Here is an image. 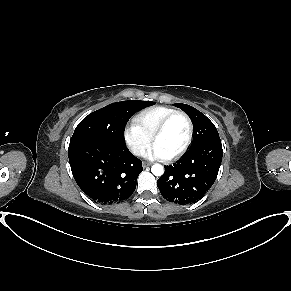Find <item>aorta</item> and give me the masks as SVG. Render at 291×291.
Returning <instances> with one entry per match:
<instances>
[{
    "label": "aorta",
    "instance_id": "aorta-1",
    "mask_svg": "<svg viewBox=\"0 0 291 291\" xmlns=\"http://www.w3.org/2000/svg\"><path fill=\"white\" fill-rule=\"evenodd\" d=\"M151 171L155 176H161L164 173V168L160 164H155L152 166Z\"/></svg>",
    "mask_w": 291,
    "mask_h": 291
}]
</instances>
